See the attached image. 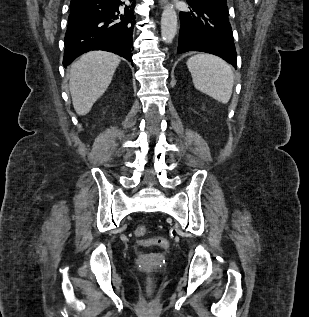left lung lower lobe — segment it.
<instances>
[{"instance_id": "0a47b994", "label": "left lung lower lobe", "mask_w": 309, "mask_h": 317, "mask_svg": "<svg viewBox=\"0 0 309 317\" xmlns=\"http://www.w3.org/2000/svg\"><path fill=\"white\" fill-rule=\"evenodd\" d=\"M189 8L190 12L179 13L181 28L177 53H211L237 68V53L228 10L194 4H189Z\"/></svg>"}]
</instances>
